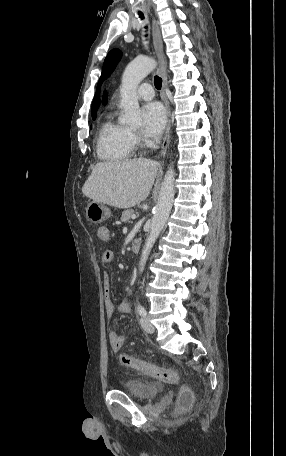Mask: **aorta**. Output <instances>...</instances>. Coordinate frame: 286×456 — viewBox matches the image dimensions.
Here are the masks:
<instances>
[{"mask_svg": "<svg viewBox=\"0 0 286 456\" xmlns=\"http://www.w3.org/2000/svg\"><path fill=\"white\" fill-rule=\"evenodd\" d=\"M156 67V61L149 57L134 59L127 65L122 75L121 107L124 109L122 122L131 126H140L142 123L136 88L140 82ZM174 169L167 170L161 184L158 202L154 209L150 232L146 238L140 258V271L144 270L148 256L161 230L169 217L174 199Z\"/></svg>", "mask_w": 286, "mask_h": 456, "instance_id": "aorta-1", "label": "aorta"}]
</instances>
